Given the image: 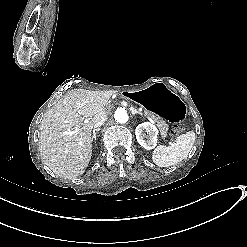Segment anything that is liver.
<instances>
[{"label": "liver", "instance_id": "obj_1", "mask_svg": "<svg viewBox=\"0 0 247 247\" xmlns=\"http://www.w3.org/2000/svg\"><path fill=\"white\" fill-rule=\"evenodd\" d=\"M108 99L102 91L73 89L44 113L40 157L56 176L74 179L85 172L92 156L91 131L107 117Z\"/></svg>", "mask_w": 247, "mask_h": 247}]
</instances>
